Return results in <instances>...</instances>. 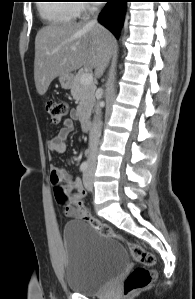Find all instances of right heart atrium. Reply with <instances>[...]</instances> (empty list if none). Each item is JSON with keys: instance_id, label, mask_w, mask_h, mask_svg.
Segmentation results:
<instances>
[{"instance_id": "d8ad5b80", "label": "right heart atrium", "mask_w": 195, "mask_h": 299, "mask_svg": "<svg viewBox=\"0 0 195 299\" xmlns=\"http://www.w3.org/2000/svg\"><path fill=\"white\" fill-rule=\"evenodd\" d=\"M90 10V7H88L85 3L78 4L77 7V13L86 14Z\"/></svg>"}]
</instances>
